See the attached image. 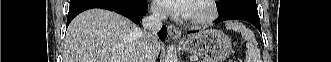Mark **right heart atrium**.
<instances>
[{
	"mask_svg": "<svg viewBox=\"0 0 331 62\" xmlns=\"http://www.w3.org/2000/svg\"><path fill=\"white\" fill-rule=\"evenodd\" d=\"M154 13H155L156 15H161V12H160V10H159V9H157V8H155V9H154Z\"/></svg>",
	"mask_w": 331,
	"mask_h": 62,
	"instance_id": "d8ad5b80",
	"label": "right heart atrium"
}]
</instances>
